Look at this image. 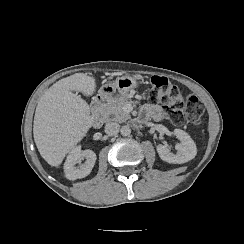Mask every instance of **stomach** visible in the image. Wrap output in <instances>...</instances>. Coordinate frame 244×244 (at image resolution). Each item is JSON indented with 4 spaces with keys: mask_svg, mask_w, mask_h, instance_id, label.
Segmentation results:
<instances>
[{
    "mask_svg": "<svg viewBox=\"0 0 244 244\" xmlns=\"http://www.w3.org/2000/svg\"><path fill=\"white\" fill-rule=\"evenodd\" d=\"M138 85L137 79L131 75H123L115 81L106 83L100 87L95 99L110 102L127 97L131 89Z\"/></svg>",
    "mask_w": 244,
    "mask_h": 244,
    "instance_id": "stomach-1",
    "label": "stomach"
}]
</instances>
